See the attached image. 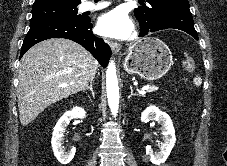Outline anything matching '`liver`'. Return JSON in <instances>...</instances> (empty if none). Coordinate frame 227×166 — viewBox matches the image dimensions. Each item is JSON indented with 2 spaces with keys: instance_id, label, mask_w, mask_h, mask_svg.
<instances>
[{
  "instance_id": "obj_1",
  "label": "liver",
  "mask_w": 227,
  "mask_h": 166,
  "mask_svg": "<svg viewBox=\"0 0 227 166\" xmlns=\"http://www.w3.org/2000/svg\"><path fill=\"white\" fill-rule=\"evenodd\" d=\"M98 66L86 49L68 39H48L29 49L18 76L21 125L31 123L49 105L85 90Z\"/></svg>"
}]
</instances>
